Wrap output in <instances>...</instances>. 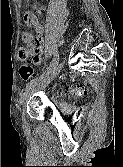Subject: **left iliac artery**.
I'll return each instance as SVG.
<instances>
[{"label":"left iliac artery","mask_w":123,"mask_h":167,"mask_svg":"<svg viewBox=\"0 0 123 167\" xmlns=\"http://www.w3.org/2000/svg\"><path fill=\"white\" fill-rule=\"evenodd\" d=\"M59 62V53L56 52L54 54V58L52 60V62L50 63L49 67L47 68V70H45L40 76H38L37 78L31 80L27 85H26V89H29L31 87H33L38 81H40L44 76L48 75L51 70L53 68L56 67V65L58 64Z\"/></svg>","instance_id":"left-iliac-artery-1"}]
</instances>
